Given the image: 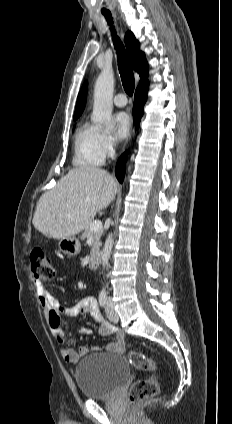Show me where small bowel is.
I'll return each instance as SVG.
<instances>
[{"label":"small bowel","instance_id":"obj_1","mask_svg":"<svg viewBox=\"0 0 232 424\" xmlns=\"http://www.w3.org/2000/svg\"><path fill=\"white\" fill-rule=\"evenodd\" d=\"M34 284L39 304L47 315L49 328L55 341L61 346L60 352L65 361L76 363L81 357L88 355L92 351L100 350V348L81 346L78 350H74L68 347L66 345V333L62 327L63 317L69 320H75L79 315L91 317L98 324V332L101 336L116 335V340L107 344L103 350L109 353H122L124 351L125 342L123 333L102 317L93 297H86L72 306L62 307L58 305L54 294L47 286L40 281H35ZM76 329L82 334L89 333L88 329L78 325H76Z\"/></svg>","mask_w":232,"mask_h":424}]
</instances>
